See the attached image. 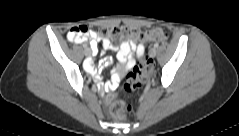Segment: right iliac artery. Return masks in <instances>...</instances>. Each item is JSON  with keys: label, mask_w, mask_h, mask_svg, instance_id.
Instances as JSON below:
<instances>
[{"label": "right iliac artery", "mask_w": 239, "mask_h": 136, "mask_svg": "<svg viewBox=\"0 0 239 136\" xmlns=\"http://www.w3.org/2000/svg\"><path fill=\"white\" fill-rule=\"evenodd\" d=\"M82 47H83V48H87V47H88V44L82 43Z\"/></svg>", "instance_id": "obj_1"}]
</instances>
